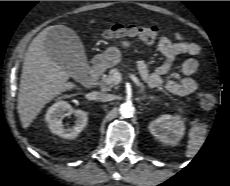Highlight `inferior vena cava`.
<instances>
[{
    "label": "inferior vena cava",
    "instance_id": "obj_1",
    "mask_svg": "<svg viewBox=\"0 0 230 186\" xmlns=\"http://www.w3.org/2000/svg\"><path fill=\"white\" fill-rule=\"evenodd\" d=\"M93 99L106 102L111 100V95L107 93H102V92H93Z\"/></svg>",
    "mask_w": 230,
    "mask_h": 186
}]
</instances>
